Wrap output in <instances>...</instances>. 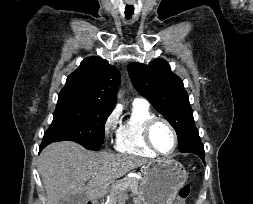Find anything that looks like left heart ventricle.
Returning a JSON list of instances; mask_svg holds the SVG:
<instances>
[{"label":"left heart ventricle","mask_w":253,"mask_h":204,"mask_svg":"<svg viewBox=\"0 0 253 204\" xmlns=\"http://www.w3.org/2000/svg\"><path fill=\"white\" fill-rule=\"evenodd\" d=\"M151 138L154 145L164 153L172 150L174 139L169 128L163 123H157L151 133Z\"/></svg>","instance_id":"left-heart-ventricle-1"}]
</instances>
